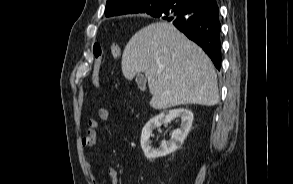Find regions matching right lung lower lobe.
Returning a JSON list of instances; mask_svg holds the SVG:
<instances>
[{"mask_svg": "<svg viewBox=\"0 0 293 184\" xmlns=\"http://www.w3.org/2000/svg\"><path fill=\"white\" fill-rule=\"evenodd\" d=\"M154 17H161L172 22L189 39L197 43L211 58L215 67L220 70L221 24L219 8L215 2L202 6L197 1L180 0Z\"/></svg>", "mask_w": 293, "mask_h": 184, "instance_id": "right-lung-lower-lobe-1", "label": "right lung lower lobe"}]
</instances>
